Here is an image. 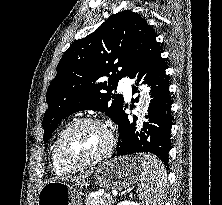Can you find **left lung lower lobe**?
I'll return each instance as SVG.
<instances>
[{"label": "left lung lower lobe", "mask_w": 222, "mask_h": 205, "mask_svg": "<svg viewBox=\"0 0 222 205\" xmlns=\"http://www.w3.org/2000/svg\"><path fill=\"white\" fill-rule=\"evenodd\" d=\"M156 34L152 33L140 56L131 67L128 77L137 78L136 85L145 76V81L151 86V100L148 115L140 133H135L134 123L130 124L124 110L120 113L116 124L119 126V138L116 151L112 157L133 155L139 152H150L167 164L170 150V133L172 126L171 97L169 80L165 74V61L161 58L162 51L156 41ZM133 94L137 88L133 86ZM132 102H138V97Z\"/></svg>", "instance_id": "1"}]
</instances>
